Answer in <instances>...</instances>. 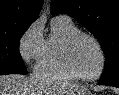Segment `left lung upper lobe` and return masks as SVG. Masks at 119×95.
Wrapping results in <instances>:
<instances>
[{"mask_svg": "<svg viewBox=\"0 0 119 95\" xmlns=\"http://www.w3.org/2000/svg\"><path fill=\"white\" fill-rule=\"evenodd\" d=\"M72 16L98 39L105 54L101 84H119V0H51V14Z\"/></svg>", "mask_w": 119, "mask_h": 95, "instance_id": "1", "label": "left lung upper lobe"}]
</instances>
